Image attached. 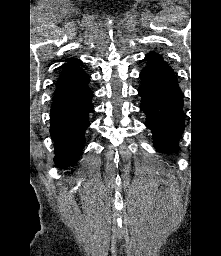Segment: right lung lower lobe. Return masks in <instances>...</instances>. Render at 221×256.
Returning <instances> with one entry per match:
<instances>
[{"instance_id":"obj_1","label":"right lung lower lobe","mask_w":221,"mask_h":256,"mask_svg":"<svg viewBox=\"0 0 221 256\" xmlns=\"http://www.w3.org/2000/svg\"><path fill=\"white\" fill-rule=\"evenodd\" d=\"M91 90L62 101H53L50 133L55 145L54 162L62 167L76 163L82 154L84 133L93 110Z\"/></svg>"}]
</instances>
